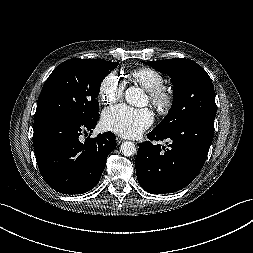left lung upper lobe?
I'll use <instances>...</instances> for the list:
<instances>
[{
    "instance_id": "left-lung-upper-lobe-1",
    "label": "left lung upper lobe",
    "mask_w": 253,
    "mask_h": 253,
    "mask_svg": "<svg viewBox=\"0 0 253 253\" xmlns=\"http://www.w3.org/2000/svg\"><path fill=\"white\" fill-rule=\"evenodd\" d=\"M167 73L174 85V101L166 118L155 128L169 133L197 118L215 119L216 104L212 81L207 72L190 59L174 58L145 62Z\"/></svg>"
}]
</instances>
